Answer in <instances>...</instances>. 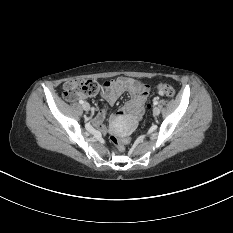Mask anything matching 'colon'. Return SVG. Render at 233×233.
I'll list each match as a JSON object with an SVG mask.
<instances>
[{
  "mask_svg": "<svg viewBox=\"0 0 233 233\" xmlns=\"http://www.w3.org/2000/svg\"><path fill=\"white\" fill-rule=\"evenodd\" d=\"M101 90V85L98 81L93 79H85V78H76L69 80L63 85V97L67 101H73L78 97H90L96 95ZM158 93L162 96L174 97L175 90L172 86L160 83L157 85ZM112 144L115 149L118 151H122L124 149V145L127 142L126 139L120 138L116 135H112L110 137Z\"/></svg>",
  "mask_w": 233,
  "mask_h": 233,
  "instance_id": "obj_1",
  "label": "colon"
}]
</instances>
